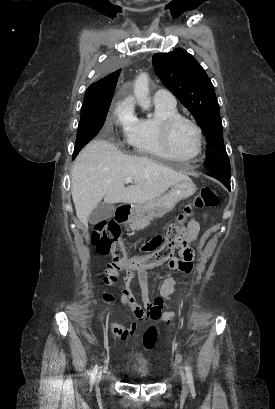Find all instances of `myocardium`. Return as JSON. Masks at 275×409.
I'll return each mask as SVG.
<instances>
[{"label": "myocardium", "mask_w": 275, "mask_h": 409, "mask_svg": "<svg viewBox=\"0 0 275 409\" xmlns=\"http://www.w3.org/2000/svg\"><path fill=\"white\" fill-rule=\"evenodd\" d=\"M182 123H186L188 124L194 134H195V138H196V151L195 153L190 156V157H198L201 153L202 150V135H201V131L199 129V127L197 126L196 123H194L192 120L183 117V116H175L172 117L168 120H166L163 125H162V138H163V145L165 148V151L167 152V154L170 157H179L175 154L173 147H172V137H173V132L175 130V128L182 124Z\"/></svg>", "instance_id": "obj_1"}]
</instances>
